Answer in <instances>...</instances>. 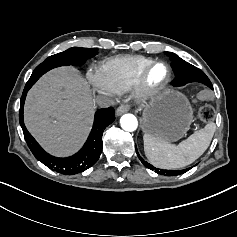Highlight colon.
<instances>
[{
	"label": "colon",
	"instance_id": "1",
	"mask_svg": "<svg viewBox=\"0 0 237 237\" xmlns=\"http://www.w3.org/2000/svg\"><path fill=\"white\" fill-rule=\"evenodd\" d=\"M212 94L208 90H203L198 93L196 99L200 101L210 100ZM198 116L201 121L208 123L211 122L215 117V109L211 105H204L198 111Z\"/></svg>",
	"mask_w": 237,
	"mask_h": 237
}]
</instances>
